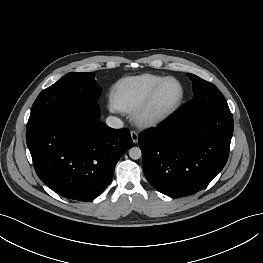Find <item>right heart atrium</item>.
<instances>
[{"label":"right heart atrium","instance_id":"1","mask_svg":"<svg viewBox=\"0 0 263 263\" xmlns=\"http://www.w3.org/2000/svg\"><path fill=\"white\" fill-rule=\"evenodd\" d=\"M110 109H111L112 111L118 110L113 103L110 104Z\"/></svg>","mask_w":263,"mask_h":263}]
</instances>
